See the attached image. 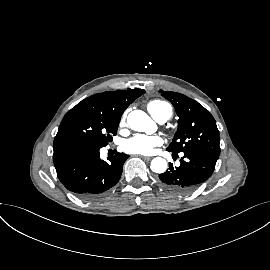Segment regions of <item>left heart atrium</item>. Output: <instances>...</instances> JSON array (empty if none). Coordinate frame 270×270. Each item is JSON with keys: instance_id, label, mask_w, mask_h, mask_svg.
Returning a JSON list of instances; mask_svg holds the SVG:
<instances>
[{"instance_id": "39dd6f15", "label": "left heart atrium", "mask_w": 270, "mask_h": 270, "mask_svg": "<svg viewBox=\"0 0 270 270\" xmlns=\"http://www.w3.org/2000/svg\"><path fill=\"white\" fill-rule=\"evenodd\" d=\"M162 144V139L156 135L138 134L127 139L123 148L126 152L131 154L149 155L155 147Z\"/></svg>"}]
</instances>
